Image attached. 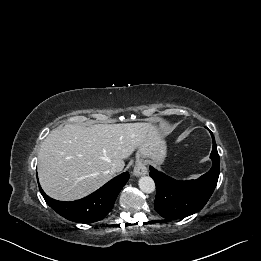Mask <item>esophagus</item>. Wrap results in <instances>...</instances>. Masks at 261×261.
<instances>
[{
	"label": "esophagus",
	"instance_id": "34e87169",
	"mask_svg": "<svg viewBox=\"0 0 261 261\" xmlns=\"http://www.w3.org/2000/svg\"><path fill=\"white\" fill-rule=\"evenodd\" d=\"M133 174L136 177L143 176V175L147 174V167L143 164L142 161L138 160L135 163V166H134V169H133Z\"/></svg>",
	"mask_w": 261,
	"mask_h": 261
}]
</instances>
